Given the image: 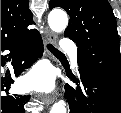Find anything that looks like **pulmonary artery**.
Wrapping results in <instances>:
<instances>
[{"instance_id": "obj_1", "label": "pulmonary artery", "mask_w": 121, "mask_h": 113, "mask_svg": "<svg viewBox=\"0 0 121 113\" xmlns=\"http://www.w3.org/2000/svg\"><path fill=\"white\" fill-rule=\"evenodd\" d=\"M64 50H67L69 51L72 56H73V64L75 66V68L77 69V61H76V45L71 41V40H65L64 44H63V47H62Z\"/></svg>"}]
</instances>
